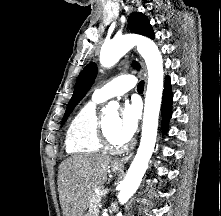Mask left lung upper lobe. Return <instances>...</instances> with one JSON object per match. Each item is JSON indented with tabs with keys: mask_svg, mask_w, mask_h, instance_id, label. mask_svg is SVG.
Here are the masks:
<instances>
[{
	"mask_svg": "<svg viewBox=\"0 0 221 216\" xmlns=\"http://www.w3.org/2000/svg\"><path fill=\"white\" fill-rule=\"evenodd\" d=\"M128 27L129 29L138 34L154 39V32L149 23V20L145 15L139 12H133L128 17ZM133 67L139 69L140 66L137 62H133ZM97 74V66L95 63H89L80 73L74 88V93L70 99L66 112L64 114L62 124L65 123L70 113L73 111L74 107L80 102V100L85 96L88 90L91 88L95 77Z\"/></svg>",
	"mask_w": 221,
	"mask_h": 216,
	"instance_id": "5c2ea615",
	"label": "left lung upper lobe"
}]
</instances>
